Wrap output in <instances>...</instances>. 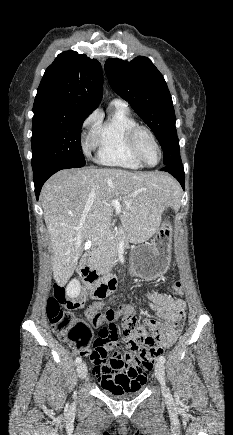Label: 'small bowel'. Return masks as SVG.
<instances>
[{
    "label": "small bowel",
    "mask_w": 233,
    "mask_h": 435,
    "mask_svg": "<svg viewBox=\"0 0 233 435\" xmlns=\"http://www.w3.org/2000/svg\"><path fill=\"white\" fill-rule=\"evenodd\" d=\"M117 283L115 279H111L108 287V293L114 292L116 290ZM173 290L177 293L182 292V283L177 281L173 286ZM84 297V295H83ZM146 299L153 312H155L160 317H164L167 320L166 324H160L158 321L152 318H144L143 322L151 327L159 326L162 328V333L168 335L169 337L175 338L180 332L184 319H185V309L186 303L182 299L174 298L170 295L162 294L157 291H149L146 294ZM67 306V303H63ZM130 311H134V307L129 305L126 307ZM124 313V308L116 312L114 319L108 322L100 330V335L106 344L113 348L115 340L117 339V321L118 318ZM123 341H127L126 335L122 336ZM162 343L165 342V338L161 340ZM125 357L119 353H115L111 356L107 363L93 364V372L97 376L102 387H108L115 389L113 380L116 376L125 374L130 378L132 384L140 385L146 378L148 370L145 366L134 367L131 370L126 369L121 365V361Z\"/></svg>",
    "instance_id": "small-bowel-1"
}]
</instances>
